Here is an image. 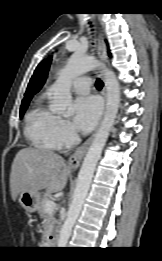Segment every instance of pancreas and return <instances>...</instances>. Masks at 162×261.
Listing matches in <instances>:
<instances>
[{
  "label": "pancreas",
  "mask_w": 162,
  "mask_h": 261,
  "mask_svg": "<svg viewBox=\"0 0 162 261\" xmlns=\"http://www.w3.org/2000/svg\"><path fill=\"white\" fill-rule=\"evenodd\" d=\"M50 198L47 195H44L39 203L38 214L43 219V233H42V244H47L50 242L49 237L53 235L54 226L57 223V220L54 217V212H46L45 204L49 201Z\"/></svg>",
  "instance_id": "obj_1"
}]
</instances>
